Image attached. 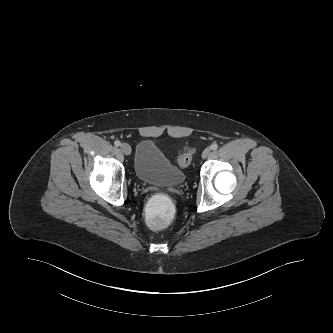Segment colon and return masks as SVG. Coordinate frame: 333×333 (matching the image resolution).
Here are the masks:
<instances>
[{
    "label": "colon",
    "mask_w": 333,
    "mask_h": 333,
    "mask_svg": "<svg viewBox=\"0 0 333 333\" xmlns=\"http://www.w3.org/2000/svg\"><path fill=\"white\" fill-rule=\"evenodd\" d=\"M192 160V150L186 148L183 154L178 158L180 166L185 167ZM144 216L146 223L155 230H166L171 224L175 216L173 203L165 194H156L152 197L148 206L145 208Z\"/></svg>",
    "instance_id": "obj_1"
}]
</instances>
